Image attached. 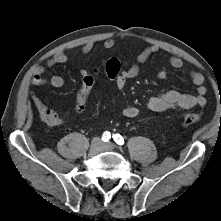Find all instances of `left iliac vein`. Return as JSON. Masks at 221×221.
Wrapping results in <instances>:
<instances>
[{"label": "left iliac vein", "mask_w": 221, "mask_h": 221, "mask_svg": "<svg viewBox=\"0 0 221 221\" xmlns=\"http://www.w3.org/2000/svg\"><path fill=\"white\" fill-rule=\"evenodd\" d=\"M102 147L105 150H113L115 148V145L111 142H107V143H104Z\"/></svg>", "instance_id": "4c4485c4"}]
</instances>
